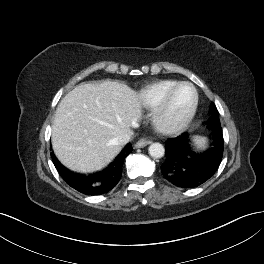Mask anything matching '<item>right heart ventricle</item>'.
Wrapping results in <instances>:
<instances>
[{"label":"right heart ventricle","instance_id":"right-heart-ventricle-1","mask_svg":"<svg viewBox=\"0 0 264 264\" xmlns=\"http://www.w3.org/2000/svg\"><path fill=\"white\" fill-rule=\"evenodd\" d=\"M178 83L176 80H160L144 87L139 93V99L146 109H155L167 92Z\"/></svg>","mask_w":264,"mask_h":264}]
</instances>
